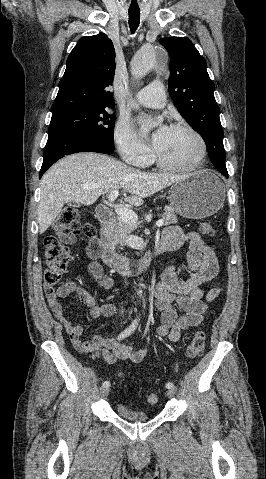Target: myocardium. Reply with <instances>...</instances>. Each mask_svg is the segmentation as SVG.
Here are the masks:
<instances>
[{
    "label": "myocardium",
    "mask_w": 266,
    "mask_h": 479,
    "mask_svg": "<svg viewBox=\"0 0 266 479\" xmlns=\"http://www.w3.org/2000/svg\"><path fill=\"white\" fill-rule=\"evenodd\" d=\"M169 129H174V130H182V131H187L189 132L197 141L198 143V154L197 157L195 158L194 161L190 163H185V164H169L164 162L158 155L155 153L154 155V160L157 164V166L163 170L166 171H193L199 169L207 155V146L205 143L204 138L201 136V134L195 130L193 127H191L188 124L184 123H175L170 125Z\"/></svg>",
    "instance_id": "f54148a6"
}]
</instances>
